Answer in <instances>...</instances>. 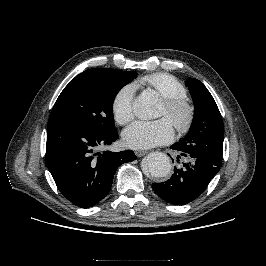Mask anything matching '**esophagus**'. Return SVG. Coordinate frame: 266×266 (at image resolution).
I'll return each mask as SVG.
<instances>
[{
    "instance_id": "1",
    "label": "esophagus",
    "mask_w": 266,
    "mask_h": 266,
    "mask_svg": "<svg viewBox=\"0 0 266 266\" xmlns=\"http://www.w3.org/2000/svg\"><path fill=\"white\" fill-rule=\"evenodd\" d=\"M146 153H147V151H144V150H136V151H135V154H136L137 157H142V156H144Z\"/></svg>"
}]
</instances>
